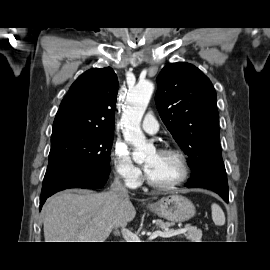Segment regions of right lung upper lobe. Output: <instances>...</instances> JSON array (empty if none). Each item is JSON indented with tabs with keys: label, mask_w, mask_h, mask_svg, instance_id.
I'll return each mask as SVG.
<instances>
[{
	"label": "right lung upper lobe",
	"mask_w": 270,
	"mask_h": 270,
	"mask_svg": "<svg viewBox=\"0 0 270 270\" xmlns=\"http://www.w3.org/2000/svg\"><path fill=\"white\" fill-rule=\"evenodd\" d=\"M118 79L112 68H93L70 87L55 116L53 130L113 131Z\"/></svg>",
	"instance_id": "obj_1"
}]
</instances>
